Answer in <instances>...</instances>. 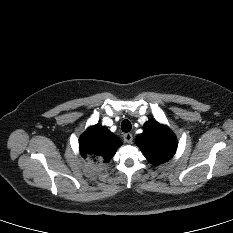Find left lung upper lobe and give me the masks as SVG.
<instances>
[{"instance_id": "5c2ea615", "label": "left lung upper lobe", "mask_w": 233, "mask_h": 233, "mask_svg": "<svg viewBox=\"0 0 233 233\" xmlns=\"http://www.w3.org/2000/svg\"><path fill=\"white\" fill-rule=\"evenodd\" d=\"M143 129L136 138V144L150 163L159 165L174 156L177 139L168 127L152 119L144 124Z\"/></svg>"}]
</instances>
